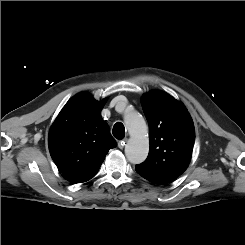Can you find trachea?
Here are the masks:
<instances>
[{
    "instance_id": "obj_1",
    "label": "trachea",
    "mask_w": 245,
    "mask_h": 245,
    "mask_svg": "<svg viewBox=\"0 0 245 245\" xmlns=\"http://www.w3.org/2000/svg\"><path fill=\"white\" fill-rule=\"evenodd\" d=\"M113 136L118 139V140H122L125 137V127L121 122H117L114 126H113V130H112Z\"/></svg>"
}]
</instances>
